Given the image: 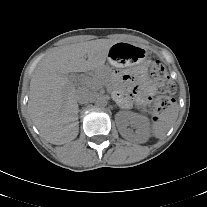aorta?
<instances>
[{"mask_svg": "<svg viewBox=\"0 0 207 207\" xmlns=\"http://www.w3.org/2000/svg\"><path fill=\"white\" fill-rule=\"evenodd\" d=\"M95 105H96L97 107H105V106L107 105V100H106V98L103 97V96L98 97V98L96 99V101H95Z\"/></svg>", "mask_w": 207, "mask_h": 207, "instance_id": "aorta-1", "label": "aorta"}]
</instances>
